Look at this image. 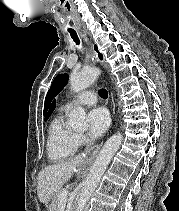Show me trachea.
Wrapping results in <instances>:
<instances>
[{
	"label": "trachea",
	"mask_w": 179,
	"mask_h": 211,
	"mask_svg": "<svg viewBox=\"0 0 179 211\" xmlns=\"http://www.w3.org/2000/svg\"><path fill=\"white\" fill-rule=\"evenodd\" d=\"M70 35H71V38L74 40V42H76V44L78 45L80 43L79 41V38L77 36V33L75 31H69ZM99 94L100 96L103 98V99H106L108 97V93H107V90L106 89H101L99 91Z\"/></svg>",
	"instance_id": "3493384b"
}]
</instances>
